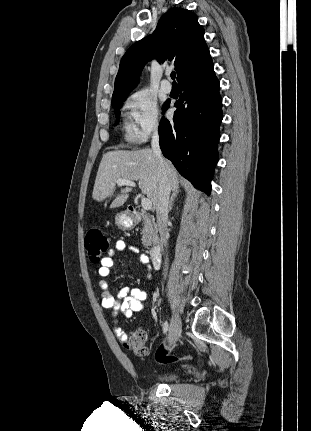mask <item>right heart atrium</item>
<instances>
[{"label": "right heart atrium", "instance_id": "right-heart-atrium-1", "mask_svg": "<svg viewBox=\"0 0 311 431\" xmlns=\"http://www.w3.org/2000/svg\"><path fill=\"white\" fill-rule=\"evenodd\" d=\"M129 118L134 127L136 139L140 143L158 134L163 119L157 101L145 90H137L125 100Z\"/></svg>", "mask_w": 311, "mask_h": 431}]
</instances>
